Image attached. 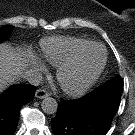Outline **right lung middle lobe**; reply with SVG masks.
<instances>
[{
	"instance_id": "dd1d6c3e",
	"label": "right lung middle lobe",
	"mask_w": 135,
	"mask_h": 135,
	"mask_svg": "<svg viewBox=\"0 0 135 135\" xmlns=\"http://www.w3.org/2000/svg\"><path fill=\"white\" fill-rule=\"evenodd\" d=\"M12 29H13V26L1 27L0 28V41L5 40Z\"/></svg>"
}]
</instances>
